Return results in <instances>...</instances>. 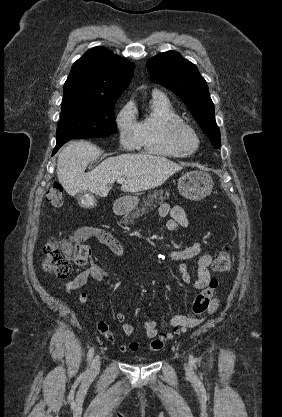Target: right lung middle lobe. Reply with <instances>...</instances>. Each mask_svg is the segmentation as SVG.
<instances>
[{
	"label": "right lung middle lobe",
	"instance_id": "right-lung-middle-lobe-1",
	"mask_svg": "<svg viewBox=\"0 0 282 417\" xmlns=\"http://www.w3.org/2000/svg\"><path fill=\"white\" fill-rule=\"evenodd\" d=\"M120 94H64L56 141L107 137L116 132L115 102Z\"/></svg>",
	"mask_w": 282,
	"mask_h": 417
}]
</instances>
